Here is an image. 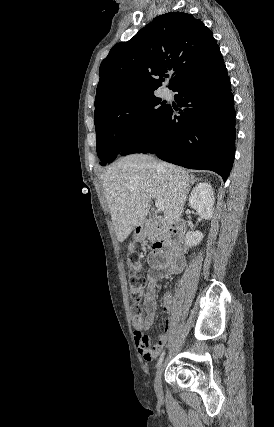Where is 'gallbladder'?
Masks as SVG:
<instances>
[{"label": "gallbladder", "mask_w": 274, "mask_h": 427, "mask_svg": "<svg viewBox=\"0 0 274 427\" xmlns=\"http://www.w3.org/2000/svg\"><path fill=\"white\" fill-rule=\"evenodd\" d=\"M128 249L129 251H133V249H135V243H129Z\"/></svg>", "instance_id": "bac80fb5"}]
</instances>
